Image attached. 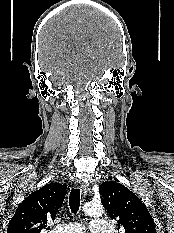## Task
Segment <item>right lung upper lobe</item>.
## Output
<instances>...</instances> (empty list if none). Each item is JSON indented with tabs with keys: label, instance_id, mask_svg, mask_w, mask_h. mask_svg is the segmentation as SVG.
<instances>
[{
	"label": "right lung upper lobe",
	"instance_id": "obj_1",
	"mask_svg": "<svg viewBox=\"0 0 174 233\" xmlns=\"http://www.w3.org/2000/svg\"><path fill=\"white\" fill-rule=\"evenodd\" d=\"M67 193L66 184L49 183L31 193L17 208L7 233H40L54 220Z\"/></svg>",
	"mask_w": 174,
	"mask_h": 233
}]
</instances>
